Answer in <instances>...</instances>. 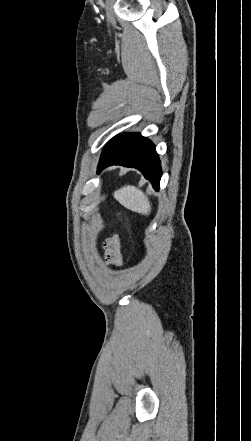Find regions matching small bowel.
<instances>
[{"label":"small bowel","instance_id":"c3829d8e","mask_svg":"<svg viewBox=\"0 0 251 441\" xmlns=\"http://www.w3.org/2000/svg\"><path fill=\"white\" fill-rule=\"evenodd\" d=\"M107 258L114 264L118 265L122 262V254L119 251V239L114 236L107 242Z\"/></svg>","mask_w":251,"mask_h":441}]
</instances>
